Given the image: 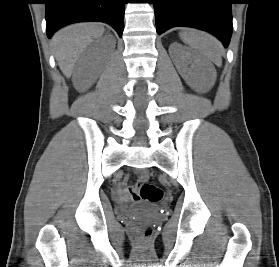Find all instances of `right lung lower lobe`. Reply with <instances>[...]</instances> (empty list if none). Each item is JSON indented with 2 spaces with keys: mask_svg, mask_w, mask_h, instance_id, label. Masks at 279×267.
<instances>
[{
  "mask_svg": "<svg viewBox=\"0 0 279 267\" xmlns=\"http://www.w3.org/2000/svg\"><path fill=\"white\" fill-rule=\"evenodd\" d=\"M125 0H44L48 38L61 27L86 21L111 25L122 36Z\"/></svg>",
  "mask_w": 279,
  "mask_h": 267,
  "instance_id": "98d812e1",
  "label": "right lung lower lobe"
}]
</instances>
